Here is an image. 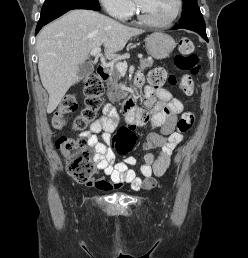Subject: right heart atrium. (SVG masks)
Here are the masks:
<instances>
[{
	"label": "right heart atrium",
	"instance_id": "right-heart-atrium-1",
	"mask_svg": "<svg viewBox=\"0 0 248 258\" xmlns=\"http://www.w3.org/2000/svg\"><path fill=\"white\" fill-rule=\"evenodd\" d=\"M105 11L117 19L127 18L133 11L130 0H99Z\"/></svg>",
	"mask_w": 248,
	"mask_h": 258
}]
</instances>
